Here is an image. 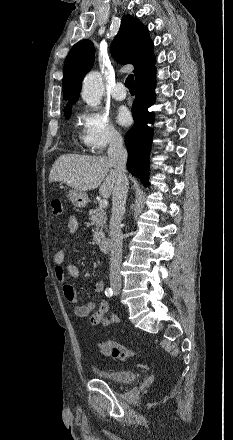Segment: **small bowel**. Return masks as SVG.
Returning <instances> with one entry per match:
<instances>
[{
  "label": "small bowel",
  "instance_id": "1",
  "mask_svg": "<svg viewBox=\"0 0 233 440\" xmlns=\"http://www.w3.org/2000/svg\"><path fill=\"white\" fill-rule=\"evenodd\" d=\"M67 227L70 237L65 245L59 249L53 257L56 265L55 276L62 286L65 299L73 306L74 314L77 317H86L95 309V303L89 302L88 304H81L73 286L66 280V274L74 279H78L80 277V270L78 267L65 261L66 252L71 245L73 236L78 229V220L74 215L69 217ZM104 287V283L101 280H95L93 283V289L97 293H102L104 291ZM108 310V302L105 299L100 300L97 310L90 316L89 326L95 327L101 325L106 327L119 323V317L115 314L108 315Z\"/></svg>",
  "mask_w": 233,
  "mask_h": 440
}]
</instances>
